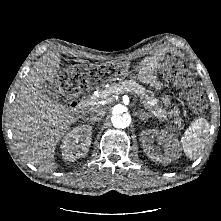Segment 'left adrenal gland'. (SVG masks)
<instances>
[{"instance_id": "1", "label": "left adrenal gland", "mask_w": 221, "mask_h": 221, "mask_svg": "<svg viewBox=\"0 0 221 221\" xmlns=\"http://www.w3.org/2000/svg\"><path fill=\"white\" fill-rule=\"evenodd\" d=\"M141 114L139 115L140 116V119L141 120H145V119H147L148 117H149V115L148 114H146L145 112H140Z\"/></svg>"}]
</instances>
